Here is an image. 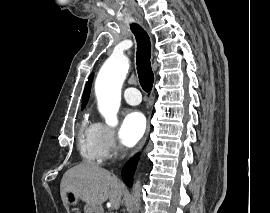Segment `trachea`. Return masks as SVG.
Segmentation results:
<instances>
[{
	"label": "trachea",
	"mask_w": 270,
	"mask_h": 213,
	"mask_svg": "<svg viewBox=\"0 0 270 213\" xmlns=\"http://www.w3.org/2000/svg\"><path fill=\"white\" fill-rule=\"evenodd\" d=\"M131 30L137 41L136 65L142 89L149 93L152 90L154 74L151 68V42L147 32L139 25L132 24Z\"/></svg>",
	"instance_id": "trachea-1"
}]
</instances>
